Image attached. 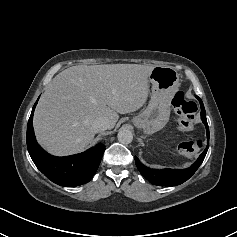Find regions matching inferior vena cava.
Listing matches in <instances>:
<instances>
[{
    "label": "inferior vena cava",
    "instance_id": "602c4592",
    "mask_svg": "<svg viewBox=\"0 0 237 237\" xmlns=\"http://www.w3.org/2000/svg\"><path fill=\"white\" fill-rule=\"evenodd\" d=\"M93 128L96 131H104L110 128V122L107 118L105 117H100L97 118L94 122H93Z\"/></svg>",
    "mask_w": 237,
    "mask_h": 237
}]
</instances>
